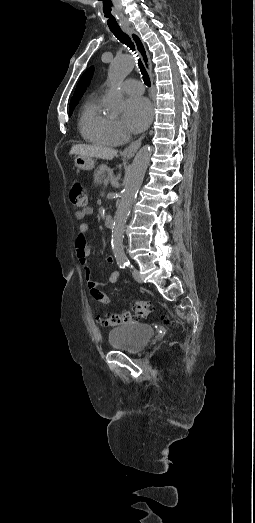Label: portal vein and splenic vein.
<instances>
[{
  "instance_id": "obj_1",
  "label": "portal vein and splenic vein",
  "mask_w": 255,
  "mask_h": 523,
  "mask_svg": "<svg viewBox=\"0 0 255 523\" xmlns=\"http://www.w3.org/2000/svg\"><path fill=\"white\" fill-rule=\"evenodd\" d=\"M111 181V176H106V178L103 180L104 186H107Z\"/></svg>"
}]
</instances>
